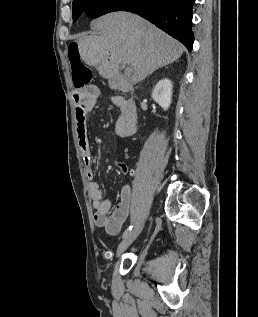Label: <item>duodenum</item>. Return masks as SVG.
Returning <instances> with one entry per match:
<instances>
[{
    "mask_svg": "<svg viewBox=\"0 0 258 317\" xmlns=\"http://www.w3.org/2000/svg\"><path fill=\"white\" fill-rule=\"evenodd\" d=\"M87 98V92L85 89L77 88L73 92V101L76 106L81 105Z\"/></svg>",
    "mask_w": 258,
    "mask_h": 317,
    "instance_id": "duodenum-1",
    "label": "duodenum"
}]
</instances>
